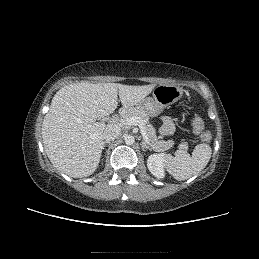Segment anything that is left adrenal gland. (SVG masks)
<instances>
[{
    "label": "left adrenal gland",
    "mask_w": 259,
    "mask_h": 259,
    "mask_svg": "<svg viewBox=\"0 0 259 259\" xmlns=\"http://www.w3.org/2000/svg\"><path fill=\"white\" fill-rule=\"evenodd\" d=\"M141 147L144 149L152 150L150 146H148L144 141L141 142Z\"/></svg>",
    "instance_id": "obj_1"
}]
</instances>
